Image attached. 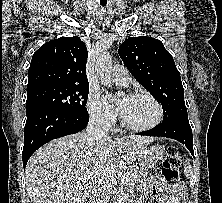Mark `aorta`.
Instances as JSON below:
<instances>
[{
	"label": "aorta",
	"mask_w": 222,
	"mask_h": 203,
	"mask_svg": "<svg viewBox=\"0 0 222 203\" xmlns=\"http://www.w3.org/2000/svg\"><path fill=\"white\" fill-rule=\"evenodd\" d=\"M112 69V57L109 53H102L95 65V72L100 80V83L104 86H111L110 73Z\"/></svg>",
	"instance_id": "aorta-1"
}]
</instances>
